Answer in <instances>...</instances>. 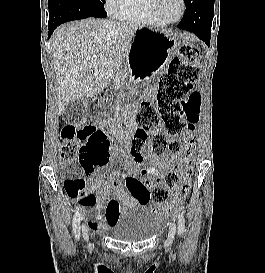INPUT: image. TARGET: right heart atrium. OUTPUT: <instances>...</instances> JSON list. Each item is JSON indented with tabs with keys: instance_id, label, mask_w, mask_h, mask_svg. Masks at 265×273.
<instances>
[{
	"instance_id": "right-heart-atrium-1",
	"label": "right heart atrium",
	"mask_w": 265,
	"mask_h": 273,
	"mask_svg": "<svg viewBox=\"0 0 265 273\" xmlns=\"http://www.w3.org/2000/svg\"><path fill=\"white\" fill-rule=\"evenodd\" d=\"M123 0H105V9L108 13L117 15Z\"/></svg>"
}]
</instances>
